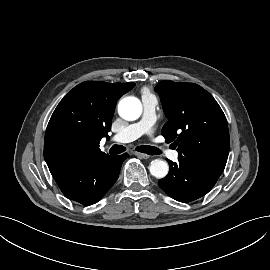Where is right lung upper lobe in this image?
I'll list each match as a JSON object with an SVG mask.
<instances>
[{
    "instance_id": "obj_1",
    "label": "right lung upper lobe",
    "mask_w": 270,
    "mask_h": 270,
    "mask_svg": "<svg viewBox=\"0 0 270 270\" xmlns=\"http://www.w3.org/2000/svg\"><path fill=\"white\" fill-rule=\"evenodd\" d=\"M134 83L85 81L60 101L48 123L44 158L52 175L106 155L100 140L108 137L117 100Z\"/></svg>"
}]
</instances>
